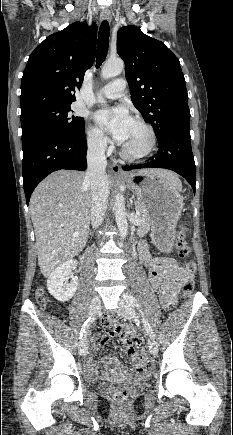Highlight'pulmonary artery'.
Instances as JSON below:
<instances>
[{
  "label": "pulmonary artery",
  "instance_id": "obj_1",
  "mask_svg": "<svg viewBox=\"0 0 233 435\" xmlns=\"http://www.w3.org/2000/svg\"><path fill=\"white\" fill-rule=\"evenodd\" d=\"M125 89L126 81L122 78H118L115 81L105 85L101 89L100 95L105 99H117L122 96Z\"/></svg>",
  "mask_w": 233,
  "mask_h": 435
}]
</instances>
